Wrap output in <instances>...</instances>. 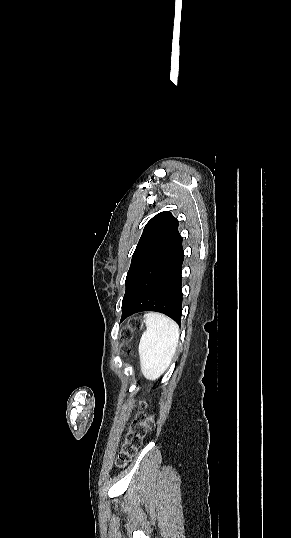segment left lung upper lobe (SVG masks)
I'll return each instance as SVG.
<instances>
[{
  "label": "left lung upper lobe",
  "instance_id": "5c2ea615",
  "mask_svg": "<svg viewBox=\"0 0 291 538\" xmlns=\"http://www.w3.org/2000/svg\"><path fill=\"white\" fill-rule=\"evenodd\" d=\"M179 236L178 220L173 217L171 212L163 211L149 220L132 256L125 281L126 291L122 304L129 298L139 278L150 264Z\"/></svg>",
  "mask_w": 291,
  "mask_h": 538
}]
</instances>
